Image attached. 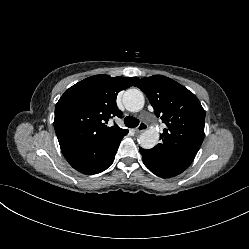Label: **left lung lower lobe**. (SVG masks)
<instances>
[{
	"instance_id": "0a47b994",
	"label": "left lung lower lobe",
	"mask_w": 249,
	"mask_h": 249,
	"mask_svg": "<svg viewBox=\"0 0 249 249\" xmlns=\"http://www.w3.org/2000/svg\"><path fill=\"white\" fill-rule=\"evenodd\" d=\"M139 150L145 166L160 177H174L179 175L192 163V161L187 159L160 155L142 148Z\"/></svg>"
}]
</instances>
